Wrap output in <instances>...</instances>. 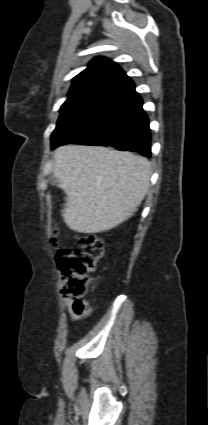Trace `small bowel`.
I'll list each match as a JSON object with an SVG mask.
<instances>
[{
  "label": "small bowel",
  "instance_id": "c3829d8e",
  "mask_svg": "<svg viewBox=\"0 0 208 425\" xmlns=\"http://www.w3.org/2000/svg\"><path fill=\"white\" fill-rule=\"evenodd\" d=\"M63 301L66 304L67 310L74 321L85 318L92 312L89 304H87L85 307H79L74 300L67 297H65Z\"/></svg>",
  "mask_w": 208,
  "mask_h": 425
}]
</instances>
